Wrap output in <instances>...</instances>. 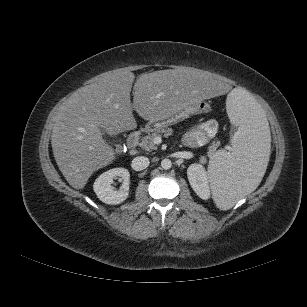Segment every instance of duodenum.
Wrapping results in <instances>:
<instances>
[{"instance_id": "410a0bca", "label": "duodenum", "mask_w": 307, "mask_h": 307, "mask_svg": "<svg viewBox=\"0 0 307 307\" xmlns=\"http://www.w3.org/2000/svg\"><path fill=\"white\" fill-rule=\"evenodd\" d=\"M142 132L140 130H136L130 134L127 140V147L129 149H134L138 146Z\"/></svg>"}]
</instances>
